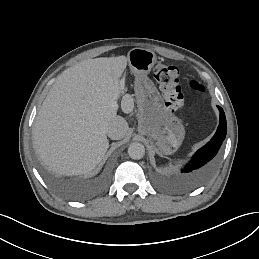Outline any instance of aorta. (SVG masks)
Here are the masks:
<instances>
[{"mask_svg": "<svg viewBox=\"0 0 259 259\" xmlns=\"http://www.w3.org/2000/svg\"><path fill=\"white\" fill-rule=\"evenodd\" d=\"M128 154L132 159H135V160L141 159L145 154V148L143 144L139 142L131 143L128 147Z\"/></svg>", "mask_w": 259, "mask_h": 259, "instance_id": "aorta-1", "label": "aorta"}]
</instances>
